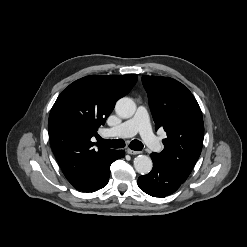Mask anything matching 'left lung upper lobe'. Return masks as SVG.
<instances>
[{"instance_id":"1","label":"left lung upper lobe","mask_w":247,"mask_h":247,"mask_svg":"<svg viewBox=\"0 0 247 247\" xmlns=\"http://www.w3.org/2000/svg\"><path fill=\"white\" fill-rule=\"evenodd\" d=\"M142 83L155 129L163 128L167 133L162 141L163 151L152 154L189 175L200 156L204 138L203 117L196 99L172 78L144 75Z\"/></svg>"}]
</instances>
